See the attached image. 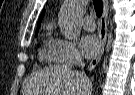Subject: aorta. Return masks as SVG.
<instances>
[{"mask_svg": "<svg viewBox=\"0 0 135 95\" xmlns=\"http://www.w3.org/2000/svg\"><path fill=\"white\" fill-rule=\"evenodd\" d=\"M86 5V0H65L59 13V27L66 39H77L80 35L79 17Z\"/></svg>", "mask_w": 135, "mask_h": 95, "instance_id": "aorta-1", "label": "aorta"}]
</instances>
